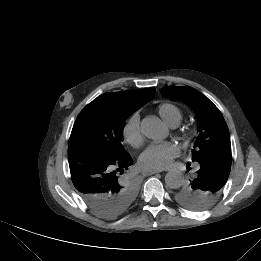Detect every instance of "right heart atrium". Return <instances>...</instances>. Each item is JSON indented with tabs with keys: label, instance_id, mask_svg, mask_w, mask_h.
Masks as SVG:
<instances>
[{
	"label": "right heart atrium",
	"instance_id": "right-heart-atrium-1",
	"mask_svg": "<svg viewBox=\"0 0 261 261\" xmlns=\"http://www.w3.org/2000/svg\"><path fill=\"white\" fill-rule=\"evenodd\" d=\"M123 138L133 147H138L143 142L140 128V116L133 113L125 122L122 130Z\"/></svg>",
	"mask_w": 261,
	"mask_h": 261
}]
</instances>
